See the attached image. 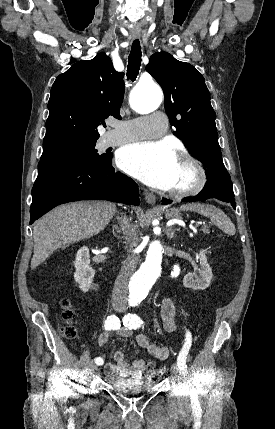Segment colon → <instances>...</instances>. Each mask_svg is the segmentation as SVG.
I'll use <instances>...</instances> for the list:
<instances>
[{"mask_svg": "<svg viewBox=\"0 0 275 429\" xmlns=\"http://www.w3.org/2000/svg\"><path fill=\"white\" fill-rule=\"evenodd\" d=\"M61 306L63 308V318L66 321V326L63 330L64 336L67 339H74L77 336V330L73 324V320L75 318V310L68 299H63L61 302ZM147 377L148 378H157V372L155 365L152 362L147 364Z\"/></svg>", "mask_w": 275, "mask_h": 429, "instance_id": "colon-1", "label": "colon"}]
</instances>
